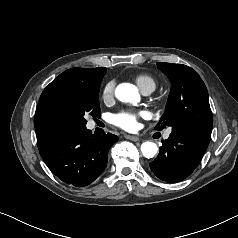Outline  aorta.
Masks as SVG:
<instances>
[{
  "instance_id": "obj_1",
  "label": "aorta",
  "mask_w": 238,
  "mask_h": 238,
  "mask_svg": "<svg viewBox=\"0 0 238 238\" xmlns=\"http://www.w3.org/2000/svg\"><path fill=\"white\" fill-rule=\"evenodd\" d=\"M115 96L121 102L135 103L139 100L137 88L129 83L119 84L116 87ZM141 152L145 158H153L158 152V147L154 142L147 141L142 143Z\"/></svg>"
}]
</instances>
